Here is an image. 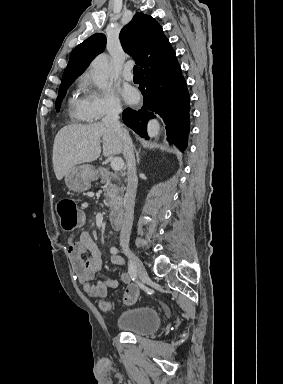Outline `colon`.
<instances>
[{
	"instance_id": "1",
	"label": "colon",
	"mask_w": 283,
	"mask_h": 384,
	"mask_svg": "<svg viewBox=\"0 0 283 384\" xmlns=\"http://www.w3.org/2000/svg\"><path fill=\"white\" fill-rule=\"evenodd\" d=\"M57 212L60 217L61 227L66 232H71L79 228L84 222L83 213L79 210L72 199H63L57 205ZM138 297V288L130 285L125 290L123 301L127 305L133 304ZM100 309L103 312H111L113 305L109 301H101Z\"/></svg>"
}]
</instances>
